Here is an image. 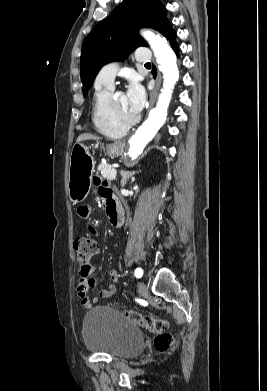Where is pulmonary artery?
I'll return each mask as SVG.
<instances>
[{
    "label": "pulmonary artery",
    "instance_id": "e3ab8cb5",
    "mask_svg": "<svg viewBox=\"0 0 267 391\" xmlns=\"http://www.w3.org/2000/svg\"><path fill=\"white\" fill-rule=\"evenodd\" d=\"M150 51L147 48H138L135 53V58L138 62H148L150 60ZM118 70V63L111 62L105 65L98 73L95 86L96 87H108L113 89L114 79Z\"/></svg>",
    "mask_w": 267,
    "mask_h": 391
}]
</instances>
